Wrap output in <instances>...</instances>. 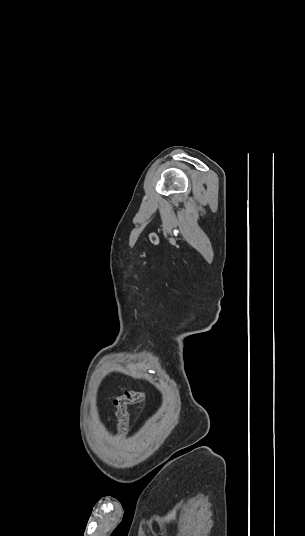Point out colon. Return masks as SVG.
I'll return each instance as SVG.
<instances>
[{
    "instance_id": "obj_1",
    "label": "colon",
    "mask_w": 305,
    "mask_h": 536,
    "mask_svg": "<svg viewBox=\"0 0 305 536\" xmlns=\"http://www.w3.org/2000/svg\"><path fill=\"white\" fill-rule=\"evenodd\" d=\"M145 397L143 389L126 390L123 394L116 396L113 400L116 409L117 433L122 435L128 424V407L141 402Z\"/></svg>"
}]
</instances>
